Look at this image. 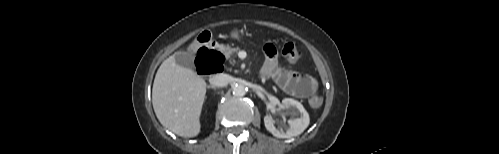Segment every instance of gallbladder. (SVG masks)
<instances>
[{
	"label": "gallbladder",
	"instance_id": "obj_1",
	"mask_svg": "<svg viewBox=\"0 0 499 154\" xmlns=\"http://www.w3.org/2000/svg\"><path fill=\"white\" fill-rule=\"evenodd\" d=\"M195 55L192 52L180 51L175 54V61L185 68H194Z\"/></svg>",
	"mask_w": 499,
	"mask_h": 154
}]
</instances>
